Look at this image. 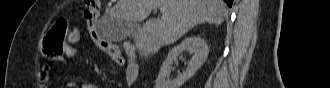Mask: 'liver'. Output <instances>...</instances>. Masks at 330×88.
I'll return each mask as SVG.
<instances>
[{"mask_svg": "<svg viewBox=\"0 0 330 88\" xmlns=\"http://www.w3.org/2000/svg\"><path fill=\"white\" fill-rule=\"evenodd\" d=\"M160 7L161 18H151L133 36L141 57L157 53L201 23L220 25L228 14L222 0H118L106 21L137 23Z\"/></svg>", "mask_w": 330, "mask_h": 88, "instance_id": "obj_1", "label": "liver"}]
</instances>
